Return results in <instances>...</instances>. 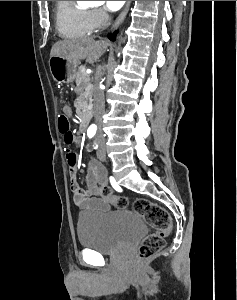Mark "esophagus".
<instances>
[{
  "label": "esophagus",
  "mask_w": 237,
  "mask_h": 300,
  "mask_svg": "<svg viewBox=\"0 0 237 300\" xmlns=\"http://www.w3.org/2000/svg\"><path fill=\"white\" fill-rule=\"evenodd\" d=\"M130 4H131V1H126L124 9L119 14L118 18L116 19L115 23L112 26L113 29L117 28V26H119V24L122 23V21H124V18L126 17V15L128 13Z\"/></svg>",
  "instance_id": "1"
}]
</instances>
